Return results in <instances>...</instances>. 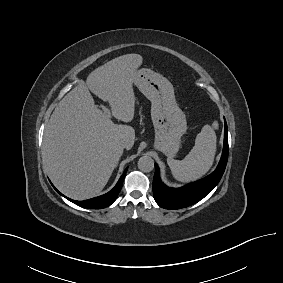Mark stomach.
<instances>
[{"label": "stomach", "mask_w": 283, "mask_h": 283, "mask_svg": "<svg viewBox=\"0 0 283 283\" xmlns=\"http://www.w3.org/2000/svg\"><path fill=\"white\" fill-rule=\"evenodd\" d=\"M134 83L151 101L154 147L166 156L173 157L180 148L187 122L185 114L176 103L172 84L162 75L146 68L136 71Z\"/></svg>", "instance_id": "stomach-1"}]
</instances>
